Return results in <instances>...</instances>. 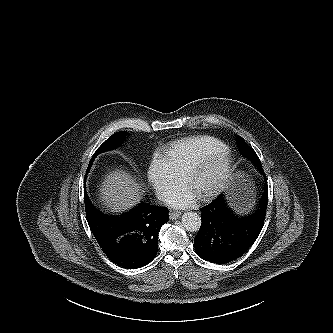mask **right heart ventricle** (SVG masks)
<instances>
[{"instance_id": "right-heart-ventricle-1", "label": "right heart ventricle", "mask_w": 333, "mask_h": 333, "mask_svg": "<svg viewBox=\"0 0 333 333\" xmlns=\"http://www.w3.org/2000/svg\"><path fill=\"white\" fill-rule=\"evenodd\" d=\"M224 147L226 145L217 138L198 135L170 143L162 151V157L171 171L181 178L196 161Z\"/></svg>"}]
</instances>
